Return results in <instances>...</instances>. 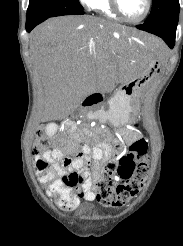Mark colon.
Returning a JSON list of instances; mask_svg holds the SVG:
<instances>
[{
	"mask_svg": "<svg viewBox=\"0 0 183 246\" xmlns=\"http://www.w3.org/2000/svg\"><path fill=\"white\" fill-rule=\"evenodd\" d=\"M52 149L48 131L41 128L36 133L33 153L35 168L41 176L52 177L49 162L43 157ZM63 154L62 164H70L67 155L71 148L60 147ZM149 172L147 142L144 139L135 141L125 153L123 146L116 143L114 158L108 161L96 181L97 200L106 207L120 208L136 197L143 189ZM75 173V172H72ZM77 178H62L65 184H72Z\"/></svg>",
	"mask_w": 183,
	"mask_h": 246,
	"instance_id": "5ec220e1",
	"label": "colon"
}]
</instances>
